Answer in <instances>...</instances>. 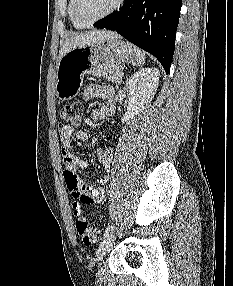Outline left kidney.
I'll return each instance as SVG.
<instances>
[{
	"label": "left kidney",
	"instance_id": "1",
	"mask_svg": "<svg viewBox=\"0 0 233 286\" xmlns=\"http://www.w3.org/2000/svg\"><path fill=\"white\" fill-rule=\"evenodd\" d=\"M159 70L144 68L135 72L126 82L127 111L121 119L122 123L128 122L137 116L148 105L158 88Z\"/></svg>",
	"mask_w": 233,
	"mask_h": 286
}]
</instances>
